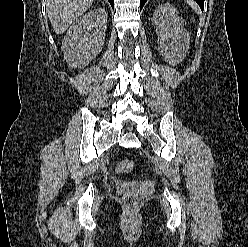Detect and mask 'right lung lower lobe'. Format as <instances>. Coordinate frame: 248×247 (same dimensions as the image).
I'll use <instances>...</instances> for the list:
<instances>
[{
	"label": "right lung lower lobe",
	"mask_w": 248,
	"mask_h": 247,
	"mask_svg": "<svg viewBox=\"0 0 248 247\" xmlns=\"http://www.w3.org/2000/svg\"><path fill=\"white\" fill-rule=\"evenodd\" d=\"M112 6V8L114 9V0H108Z\"/></svg>",
	"instance_id": "1"
}]
</instances>
